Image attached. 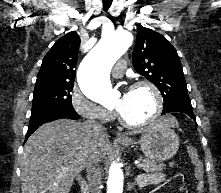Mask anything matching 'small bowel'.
I'll return each mask as SVG.
<instances>
[{"label":"small bowel","instance_id":"obj_1","mask_svg":"<svg viewBox=\"0 0 221 193\" xmlns=\"http://www.w3.org/2000/svg\"><path fill=\"white\" fill-rule=\"evenodd\" d=\"M165 180V175L163 173H157L150 176L141 177L137 180L138 185L144 186L147 184H158ZM181 191H184V187L182 186Z\"/></svg>","mask_w":221,"mask_h":193}]
</instances>
